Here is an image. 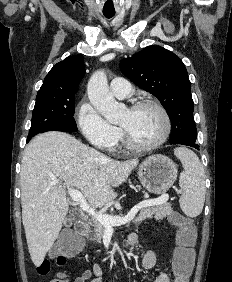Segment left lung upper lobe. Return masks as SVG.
<instances>
[{
    "mask_svg": "<svg viewBox=\"0 0 232 282\" xmlns=\"http://www.w3.org/2000/svg\"><path fill=\"white\" fill-rule=\"evenodd\" d=\"M122 73L161 102L172 122L173 134L196 142L193 100L188 73L181 59L160 46H148L120 63Z\"/></svg>",
    "mask_w": 232,
    "mask_h": 282,
    "instance_id": "5c2ea615",
    "label": "left lung upper lobe"
}]
</instances>
